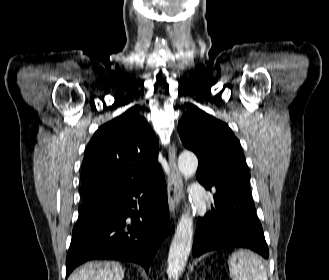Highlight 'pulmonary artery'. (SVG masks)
<instances>
[{
    "label": "pulmonary artery",
    "mask_w": 329,
    "mask_h": 280,
    "mask_svg": "<svg viewBox=\"0 0 329 280\" xmlns=\"http://www.w3.org/2000/svg\"><path fill=\"white\" fill-rule=\"evenodd\" d=\"M204 192V188L199 183H194L191 187V196L192 198L197 201L198 199H202Z\"/></svg>",
    "instance_id": "1"
}]
</instances>
